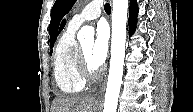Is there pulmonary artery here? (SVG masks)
Instances as JSON below:
<instances>
[{
  "label": "pulmonary artery",
  "mask_w": 193,
  "mask_h": 112,
  "mask_svg": "<svg viewBox=\"0 0 193 112\" xmlns=\"http://www.w3.org/2000/svg\"><path fill=\"white\" fill-rule=\"evenodd\" d=\"M101 7H102L101 1L96 0L90 2L83 8V10L80 13L73 16L69 25L74 28H79L83 24L98 18L101 14Z\"/></svg>",
  "instance_id": "1"
}]
</instances>
